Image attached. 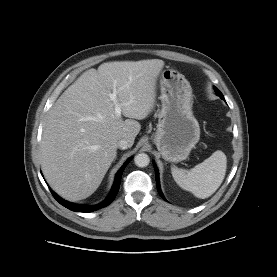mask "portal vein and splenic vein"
I'll list each match as a JSON object with an SVG mask.
<instances>
[{
	"mask_svg": "<svg viewBox=\"0 0 277 277\" xmlns=\"http://www.w3.org/2000/svg\"><path fill=\"white\" fill-rule=\"evenodd\" d=\"M109 97H110V100L114 103L115 114L117 116H121V111H122L121 107H122V104H120L118 102L116 89H114L113 92L109 94ZM127 104L128 103H126L125 105H127Z\"/></svg>",
	"mask_w": 277,
	"mask_h": 277,
	"instance_id": "1",
	"label": "portal vein and splenic vein"
}]
</instances>
